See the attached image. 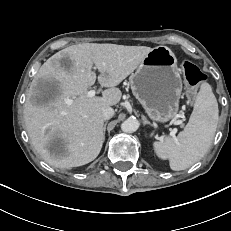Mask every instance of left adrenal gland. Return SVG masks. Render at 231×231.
<instances>
[{
  "mask_svg": "<svg viewBox=\"0 0 231 231\" xmlns=\"http://www.w3.org/2000/svg\"><path fill=\"white\" fill-rule=\"evenodd\" d=\"M144 124H148L150 126H153L145 117H143Z\"/></svg>",
  "mask_w": 231,
  "mask_h": 231,
  "instance_id": "left-adrenal-gland-1",
  "label": "left adrenal gland"
}]
</instances>
